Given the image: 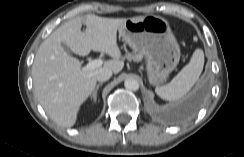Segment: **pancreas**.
I'll list each match as a JSON object with an SVG mask.
<instances>
[{
    "mask_svg": "<svg viewBox=\"0 0 244 157\" xmlns=\"http://www.w3.org/2000/svg\"><path fill=\"white\" fill-rule=\"evenodd\" d=\"M126 57L128 58V59H140V55H136V56H134V55H132V54H127L126 55Z\"/></svg>",
    "mask_w": 244,
    "mask_h": 157,
    "instance_id": "cf45deb5",
    "label": "pancreas"
}]
</instances>
